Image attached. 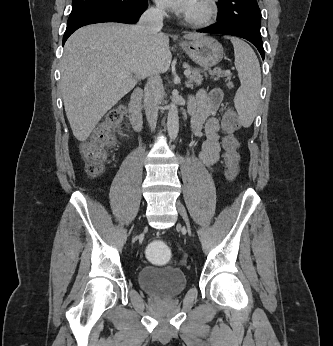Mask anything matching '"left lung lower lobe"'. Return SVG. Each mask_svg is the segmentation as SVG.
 Here are the masks:
<instances>
[{
	"label": "left lung lower lobe",
	"mask_w": 333,
	"mask_h": 346,
	"mask_svg": "<svg viewBox=\"0 0 333 346\" xmlns=\"http://www.w3.org/2000/svg\"><path fill=\"white\" fill-rule=\"evenodd\" d=\"M198 32L212 33V34H226L244 38L250 41L260 52L264 60V48L262 43L261 34L245 25L239 23H218L217 25L198 30Z\"/></svg>",
	"instance_id": "left-lung-lower-lobe-1"
}]
</instances>
